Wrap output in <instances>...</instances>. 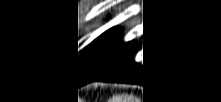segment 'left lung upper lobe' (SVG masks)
I'll list each match as a JSON object with an SVG mask.
<instances>
[{
	"label": "left lung upper lobe",
	"mask_w": 221,
	"mask_h": 102,
	"mask_svg": "<svg viewBox=\"0 0 221 102\" xmlns=\"http://www.w3.org/2000/svg\"><path fill=\"white\" fill-rule=\"evenodd\" d=\"M119 30L118 28L109 29L95 39L88 49L82 50L77 56L75 55L72 64L73 75L79 77L84 73Z\"/></svg>",
	"instance_id": "1"
}]
</instances>
